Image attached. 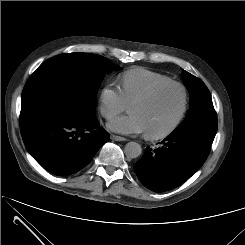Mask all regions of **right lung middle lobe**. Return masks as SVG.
<instances>
[{
	"label": "right lung middle lobe",
	"instance_id": "right-lung-middle-lobe-1",
	"mask_svg": "<svg viewBox=\"0 0 245 245\" xmlns=\"http://www.w3.org/2000/svg\"><path fill=\"white\" fill-rule=\"evenodd\" d=\"M44 63H51L62 71L65 80L55 83L28 80L22 92V122L56 109L76 117L93 115L96 94L103 77L119 68L107 58L90 53L61 54Z\"/></svg>",
	"mask_w": 245,
	"mask_h": 245
}]
</instances>
